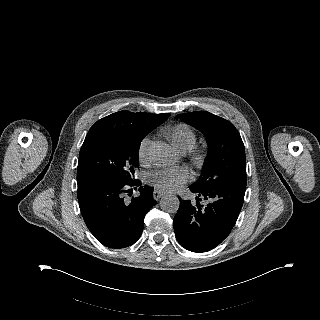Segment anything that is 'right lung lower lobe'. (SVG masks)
<instances>
[{
  "mask_svg": "<svg viewBox=\"0 0 320 320\" xmlns=\"http://www.w3.org/2000/svg\"><path fill=\"white\" fill-rule=\"evenodd\" d=\"M77 184L81 214L99 242L109 248H124L139 239L144 217L156 204L153 188L140 187L139 196L128 201L125 193L139 186L138 180L122 182L97 172H80Z\"/></svg>",
  "mask_w": 320,
  "mask_h": 320,
  "instance_id": "1",
  "label": "right lung lower lobe"
}]
</instances>
